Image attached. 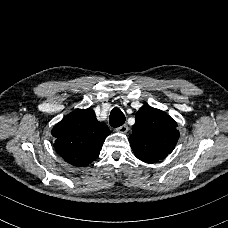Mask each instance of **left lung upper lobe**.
Returning a JSON list of instances; mask_svg holds the SVG:
<instances>
[{
	"label": "left lung upper lobe",
	"instance_id": "left-lung-upper-lobe-1",
	"mask_svg": "<svg viewBox=\"0 0 228 228\" xmlns=\"http://www.w3.org/2000/svg\"><path fill=\"white\" fill-rule=\"evenodd\" d=\"M135 118L129 142L138 159L154 163L173 151L179 138L173 118L148 104L139 109Z\"/></svg>",
	"mask_w": 228,
	"mask_h": 228
}]
</instances>
